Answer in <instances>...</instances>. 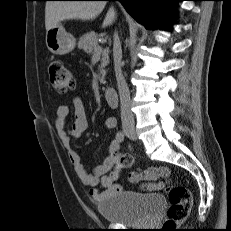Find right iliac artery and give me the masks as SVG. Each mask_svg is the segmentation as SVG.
<instances>
[{
  "instance_id": "right-iliac-artery-1",
  "label": "right iliac artery",
  "mask_w": 231,
  "mask_h": 231,
  "mask_svg": "<svg viewBox=\"0 0 231 231\" xmlns=\"http://www.w3.org/2000/svg\"><path fill=\"white\" fill-rule=\"evenodd\" d=\"M124 133L122 132V131H119L117 134H116V139H117V141L118 142H122V141H124Z\"/></svg>"
}]
</instances>
